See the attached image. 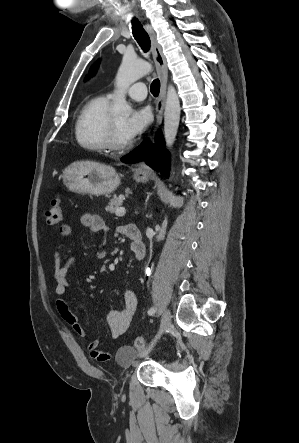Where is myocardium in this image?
<instances>
[{
    "label": "myocardium",
    "mask_w": 299,
    "mask_h": 443,
    "mask_svg": "<svg viewBox=\"0 0 299 443\" xmlns=\"http://www.w3.org/2000/svg\"><path fill=\"white\" fill-rule=\"evenodd\" d=\"M133 145L131 140L122 142L119 139L118 131L113 118H110L108 132L106 137V147L107 150L113 153H122L130 149Z\"/></svg>",
    "instance_id": "f54148a6"
}]
</instances>
